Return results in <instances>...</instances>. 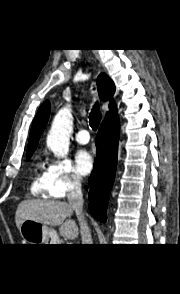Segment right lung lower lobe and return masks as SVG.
Returning <instances> with one entry per match:
<instances>
[{"label": "right lung lower lobe", "instance_id": "right-lung-lower-lobe-1", "mask_svg": "<svg viewBox=\"0 0 180 294\" xmlns=\"http://www.w3.org/2000/svg\"><path fill=\"white\" fill-rule=\"evenodd\" d=\"M119 120L114 106L107 112L96 137L97 157L89 179V210L94 218L106 221V209L117 165Z\"/></svg>", "mask_w": 180, "mask_h": 294}]
</instances>
